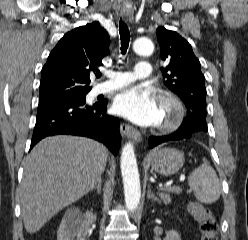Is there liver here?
I'll return each mask as SVG.
<instances>
[{
  "instance_id": "6515ba94",
  "label": "liver",
  "mask_w": 248,
  "mask_h": 240,
  "mask_svg": "<svg viewBox=\"0 0 248 240\" xmlns=\"http://www.w3.org/2000/svg\"><path fill=\"white\" fill-rule=\"evenodd\" d=\"M107 159L106 148L88 138L59 135L40 141L24 162L20 186L26 231L36 233L56 213L92 190Z\"/></svg>"
}]
</instances>
